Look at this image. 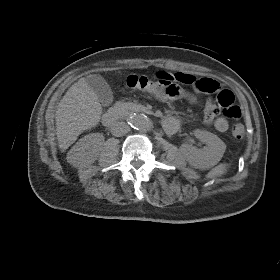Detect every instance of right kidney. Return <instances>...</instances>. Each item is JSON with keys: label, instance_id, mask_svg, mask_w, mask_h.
<instances>
[{"label": "right kidney", "instance_id": "1", "mask_svg": "<svg viewBox=\"0 0 280 280\" xmlns=\"http://www.w3.org/2000/svg\"><path fill=\"white\" fill-rule=\"evenodd\" d=\"M102 141H104V137L99 133L86 135L77 142V146L74 147V151H77L78 157L85 162H93L99 155Z\"/></svg>", "mask_w": 280, "mask_h": 280}]
</instances>
